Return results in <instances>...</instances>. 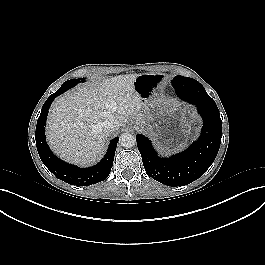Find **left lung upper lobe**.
<instances>
[{"mask_svg":"<svg viewBox=\"0 0 265 265\" xmlns=\"http://www.w3.org/2000/svg\"><path fill=\"white\" fill-rule=\"evenodd\" d=\"M189 79H192V78L177 75V76H175V78L173 80L180 81V80H189Z\"/></svg>","mask_w":265,"mask_h":265,"instance_id":"obj_1","label":"left lung upper lobe"}]
</instances>
